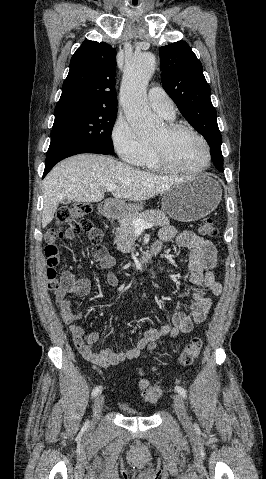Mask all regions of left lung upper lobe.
<instances>
[{"label": "left lung upper lobe", "mask_w": 266, "mask_h": 479, "mask_svg": "<svg viewBox=\"0 0 266 479\" xmlns=\"http://www.w3.org/2000/svg\"><path fill=\"white\" fill-rule=\"evenodd\" d=\"M159 52L164 90L186 120L206 139L213 164L223 172L222 136L201 62L185 41L163 46Z\"/></svg>", "instance_id": "obj_1"}]
</instances>
